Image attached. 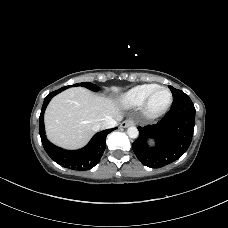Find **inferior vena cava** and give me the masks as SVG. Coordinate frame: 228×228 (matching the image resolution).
I'll return each mask as SVG.
<instances>
[{"label": "inferior vena cava", "mask_w": 228, "mask_h": 228, "mask_svg": "<svg viewBox=\"0 0 228 228\" xmlns=\"http://www.w3.org/2000/svg\"><path fill=\"white\" fill-rule=\"evenodd\" d=\"M118 125V121L114 120V119H107L105 121L100 122L97 126L96 129L97 130H104V129H110V128H114L115 126Z\"/></svg>", "instance_id": "1"}]
</instances>
